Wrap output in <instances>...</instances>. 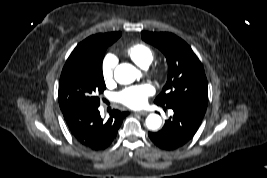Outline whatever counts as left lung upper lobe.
I'll return each instance as SVG.
<instances>
[{
	"label": "left lung upper lobe",
	"mask_w": 267,
	"mask_h": 178,
	"mask_svg": "<svg viewBox=\"0 0 267 178\" xmlns=\"http://www.w3.org/2000/svg\"><path fill=\"white\" fill-rule=\"evenodd\" d=\"M142 39L165 55L168 63L167 83L155 99L159 106H178L203 118L208 104L205 72L191 47L172 33L142 32Z\"/></svg>",
	"instance_id": "1"
}]
</instances>
